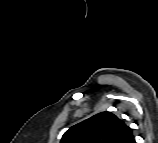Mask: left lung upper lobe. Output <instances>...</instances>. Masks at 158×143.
I'll return each mask as SVG.
<instances>
[{
  "label": "left lung upper lobe",
  "mask_w": 158,
  "mask_h": 143,
  "mask_svg": "<svg viewBox=\"0 0 158 143\" xmlns=\"http://www.w3.org/2000/svg\"><path fill=\"white\" fill-rule=\"evenodd\" d=\"M60 143H134V137L123 120L105 111L72 126Z\"/></svg>",
  "instance_id": "left-lung-upper-lobe-1"
}]
</instances>
